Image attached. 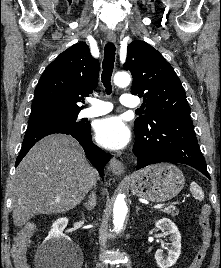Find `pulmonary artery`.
<instances>
[{
	"label": "pulmonary artery",
	"mask_w": 221,
	"mask_h": 268,
	"mask_svg": "<svg viewBox=\"0 0 221 268\" xmlns=\"http://www.w3.org/2000/svg\"><path fill=\"white\" fill-rule=\"evenodd\" d=\"M121 103L126 107H137L140 104V101L135 96L130 94H123L120 98ZM91 106L82 110L79 114L81 118H92L105 115L112 110V104L99 100L92 99L90 101Z\"/></svg>",
	"instance_id": "pulmonary-artery-1"
}]
</instances>
